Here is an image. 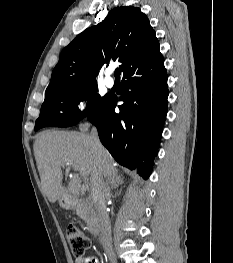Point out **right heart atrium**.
Wrapping results in <instances>:
<instances>
[{
  "label": "right heart atrium",
  "mask_w": 233,
  "mask_h": 263,
  "mask_svg": "<svg viewBox=\"0 0 233 263\" xmlns=\"http://www.w3.org/2000/svg\"><path fill=\"white\" fill-rule=\"evenodd\" d=\"M88 102V96L87 95H82L76 98L75 100V111L78 114H82L85 111L86 104Z\"/></svg>",
  "instance_id": "right-heart-atrium-1"
}]
</instances>
